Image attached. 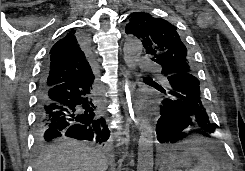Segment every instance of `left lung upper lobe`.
Masks as SVG:
<instances>
[{
    "label": "left lung upper lobe",
    "mask_w": 245,
    "mask_h": 171,
    "mask_svg": "<svg viewBox=\"0 0 245 171\" xmlns=\"http://www.w3.org/2000/svg\"><path fill=\"white\" fill-rule=\"evenodd\" d=\"M125 32L142 41L151 60L159 64L164 77L169 76L172 68L195 73L193 62L182 36L170 22L155 18L149 13L134 12L128 16Z\"/></svg>",
    "instance_id": "5c2ea615"
}]
</instances>
